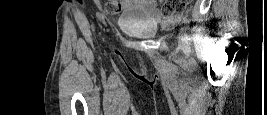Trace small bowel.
<instances>
[{"instance_id": "c3829d8e", "label": "small bowel", "mask_w": 267, "mask_h": 115, "mask_svg": "<svg viewBox=\"0 0 267 115\" xmlns=\"http://www.w3.org/2000/svg\"><path fill=\"white\" fill-rule=\"evenodd\" d=\"M157 4H158L157 0L126 1V6L128 8L140 7L146 10L149 13V15L154 19L160 18V14L157 9Z\"/></svg>"}]
</instances>
